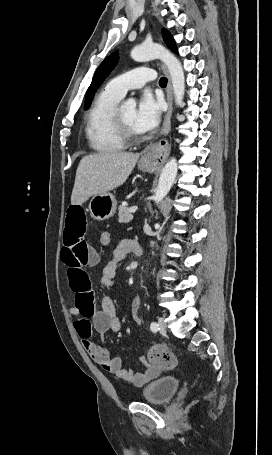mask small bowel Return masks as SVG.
<instances>
[{
  "label": "small bowel",
  "instance_id": "obj_1",
  "mask_svg": "<svg viewBox=\"0 0 272 455\" xmlns=\"http://www.w3.org/2000/svg\"><path fill=\"white\" fill-rule=\"evenodd\" d=\"M87 221L81 207L72 206L66 216L61 261L67 268L69 286L74 294V305L70 314L75 318L74 328L90 357L107 372L114 374L119 380L136 386L143 385L160 374L159 365H147L141 359L144 369L139 372L125 369L120 356L114 354L106 343H96L92 339V327L100 334L117 333L122 329V322L116 314V308L109 296L101 300L100 309L94 307V293L91 288L89 267L99 262V254L95 248L85 241ZM134 240H121L113 250V258L103 269L101 283L111 289L116 275L118 263L132 251ZM142 300L136 296L131 303V312L135 321L139 322L138 313Z\"/></svg>",
  "mask_w": 272,
  "mask_h": 455
}]
</instances>
